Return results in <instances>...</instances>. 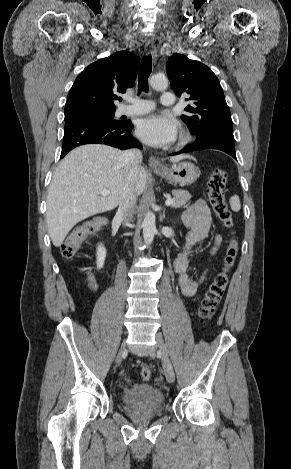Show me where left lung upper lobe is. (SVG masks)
<instances>
[{"label":"left lung upper lobe","mask_w":291,"mask_h":469,"mask_svg":"<svg viewBox=\"0 0 291 469\" xmlns=\"http://www.w3.org/2000/svg\"><path fill=\"white\" fill-rule=\"evenodd\" d=\"M167 75L177 96L187 94L192 101L181 118L197 137L212 132L233 134L229 107L216 75L199 61L173 54L167 63Z\"/></svg>","instance_id":"5c2ea615"}]
</instances>
